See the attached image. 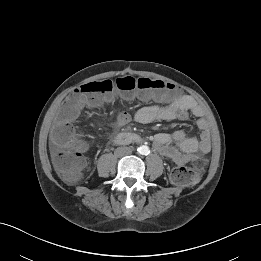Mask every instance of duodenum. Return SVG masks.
<instances>
[{
    "instance_id": "obj_1",
    "label": "duodenum",
    "mask_w": 261,
    "mask_h": 261,
    "mask_svg": "<svg viewBox=\"0 0 261 261\" xmlns=\"http://www.w3.org/2000/svg\"><path fill=\"white\" fill-rule=\"evenodd\" d=\"M115 141L121 145H126L132 142H138L139 137L134 133L122 132L116 136Z\"/></svg>"
}]
</instances>
